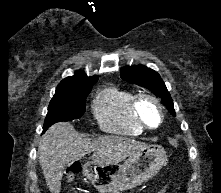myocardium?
<instances>
[{
    "label": "myocardium",
    "instance_id": "f54148a6",
    "mask_svg": "<svg viewBox=\"0 0 221 193\" xmlns=\"http://www.w3.org/2000/svg\"><path fill=\"white\" fill-rule=\"evenodd\" d=\"M144 102H151L156 106V108L158 110V114H159V122H158L157 125H155V126L150 125L142 117V115H141V105ZM131 110H132V114H133V117L136 120V122L144 129H150V130L157 129L162 125V123L164 121L163 105L156 96H154L150 93H141V94L136 95L134 97L133 101H132Z\"/></svg>",
    "mask_w": 221,
    "mask_h": 193
}]
</instances>
